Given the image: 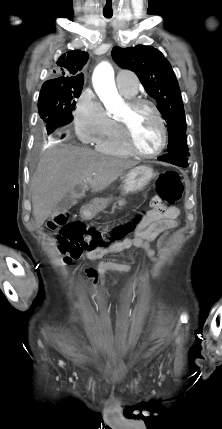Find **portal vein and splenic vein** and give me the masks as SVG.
Segmentation results:
<instances>
[{"mask_svg": "<svg viewBox=\"0 0 222 429\" xmlns=\"http://www.w3.org/2000/svg\"><path fill=\"white\" fill-rule=\"evenodd\" d=\"M90 181V179L85 180V183H88Z\"/></svg>", "mask_w": 222, "mask_h": 429, "instance_id": "obj_1", "label": "portal vein and splenic vein"}]
</instances>
